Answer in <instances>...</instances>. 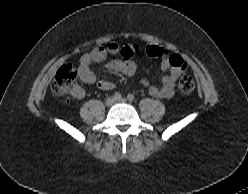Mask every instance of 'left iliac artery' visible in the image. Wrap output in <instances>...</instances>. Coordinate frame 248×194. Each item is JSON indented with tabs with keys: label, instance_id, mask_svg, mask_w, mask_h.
Segmentation results:
<instances>
[{
	"label": "left iliac artery",
	"instance_id": "left-iliac-artery-1",
	"mask_svg": "<svg viewBox=\"0 0 248 194\" xmlns=\"http://www.w3.org/2000/svg\"><path fill=\"white\" fill-rule=\"evenodd\" d=\"M127 99H128L130 102H132V101H134L135 96H134L133 94H129V95L127 96Z\"/></svg>",
	"mask_w": 248,
	"mask_h": 194
}]
</instances>
